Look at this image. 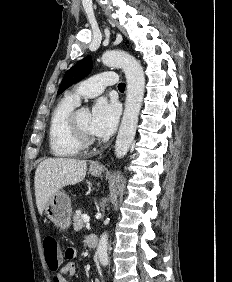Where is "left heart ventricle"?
Wrapping results in <instances>:
<instances>
[{
	"instance_id": "left-heart-ventricle-1",
	"label": "left heart ventricle",
	"mask_w": 232,
	"mask_h": 282,
	"mask_svg": "<svg viewBox=\"0 0 232 282\" xmlns=\"http://www.w3.org/2000/svg\"><path fill=\"white\" fill-rule=\"evenodd\" d=\"M90 119H91V113L85 109L80 110L78 114V121L81 126V128L89 135H92V132L90 130Z\"/></svg>"
}]
</instances>
